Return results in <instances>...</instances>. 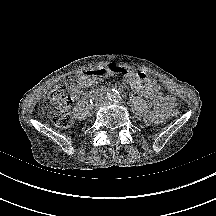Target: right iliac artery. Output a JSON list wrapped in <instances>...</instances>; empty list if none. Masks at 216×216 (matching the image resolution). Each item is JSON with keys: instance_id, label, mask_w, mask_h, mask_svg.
<instances>
[{"instance_id": "right-iliac-artery-1", "label": "right iliac artery", "mask_w": 216, "mask_h": 216, "mask_svg": "<svg viewBox=\"0 0 216 216\" xmlns=\"http://www.w3.org/2000/svg\"><path fill=\"white\" fill-rule=\"evenodd\" d=\"M112 91H113V90H112ZM108 98H109L110 100H112V98H114V95L112 94V92L108 93Z\"/></svg>"}]
</instances>
